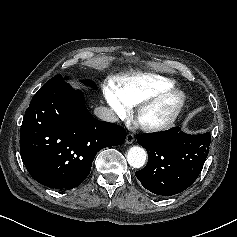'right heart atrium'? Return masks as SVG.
Here are the masks:
<instances>
[{
  "label": "right heart atrium",
  "instance_id": "1",
  "mask_svg": "<svg viewBox=\"0 0 237 237\" xmlns=\"http://www.w3.org/2000/svg\"><path fill=\"white\" fill-rule=\"evenodd\" d=\"M104 96L115 116L125 117L130 113L131 105L119 94L112 82L104 87Z\"/></svg>",
  "mask_w": 237,
  "mask_h": 237
}]
</instances>
